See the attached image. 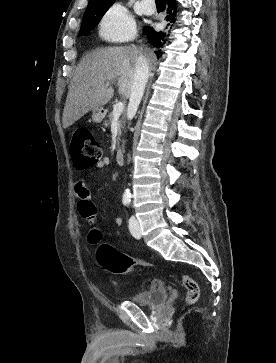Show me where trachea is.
I'll return each instance as SVG.
<instances>
[{
    "instance_id": "3493384b",
    "label": "trachea",
    "mask_w": 276,
    "mask_h": 363,
    "mask_svg": "<svg viewBox=\"0 0 276 363\" xmlns=\"http://www.w3.org/2000/svg\"><path fill=\"white\" fill-rule=\"evenodd\" d=\"M157 5H165L166 4V0H155Z\"/></svg>"
}]
</instances>
